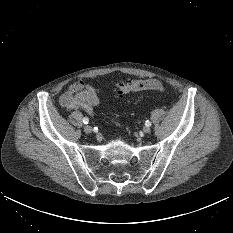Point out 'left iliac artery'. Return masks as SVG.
Masks as SVG:
<instances>
[{
    "label": "left iliac artery",
    "instance_id": "left-iliac-artery-1",
    "mask_svg": "<svg viewBox=\"0 0 233 233\" xmlns=\"http://www.w3.org/2000/svg\"><path fill=\"white\" fill-rule=\"evenodd\" d=\"M145 125L148 126V127H150V126H151V122L147 120V121L145 122Z\"/></svg>",
    "mask_w": 233,
    "mask_h": 233
}]
</instances>
